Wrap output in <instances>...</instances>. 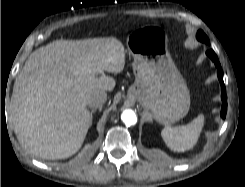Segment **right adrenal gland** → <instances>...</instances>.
I'll list each match as a JSON object with an SVG mask.
<instances>
[{
  "label": "right adrenal gland",
  "instance_id": "obj_1",
  "mask_svg": "<svg viewBox=\"0 0 245 187\" xmlns=\"http://www.w3.org/2000/svg\"><path fill=\"white\" fill-rule=\"evenodd\" d=\"M94 112H95V109H92L91 110V118H92Z\"/></svg>",
  "mask_w": 245,
  "mask_h": 187
}]
</instances>
